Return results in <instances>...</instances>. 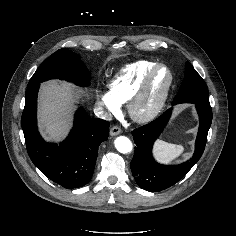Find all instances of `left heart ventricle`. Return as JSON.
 <instances>
[{"label":"left heart ventricle","instance_id":"obj_1","mask_svg":"<svg viewBox=\"0 0 236 236\" xmlns=\"http://www.w3.org/2000/svg\"><path fill=\"white\" fill-rule=\"evenodd\" d=\"M167 78L168 75L165 70H160L159 72H157L150 84L147 95L141 105L142 111L150 109L155 104L165 87Z\"/></svg>","mask_w":236,"mask_h":236}]
</instances>
